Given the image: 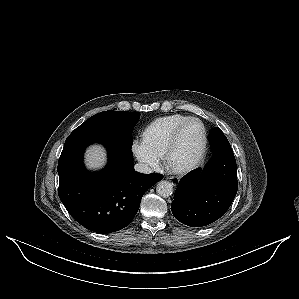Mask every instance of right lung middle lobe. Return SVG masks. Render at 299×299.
Returning <instances> with one entry per match:
<instances>
[{
  "instance_id": "obj_1",
  "label": "right lung middle lobe",
  "mask_w": 299,
  "mask_h": 299,
  "mask_svg": "<svg viewBox=\"0 0 299 299\" xmlns=\"http://www.w3.org/2000/svg\"><path fill=\"white\" fill-rule=\"evenodd\" d=\"M139 112L105 111L97 113L77 127L70 136L115 140L132 147V131Z\"/></svg>"
}]
</instances>
